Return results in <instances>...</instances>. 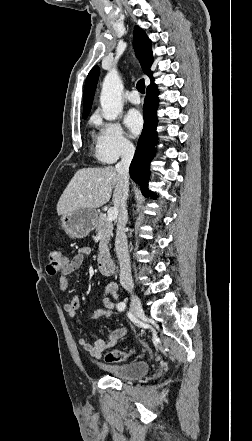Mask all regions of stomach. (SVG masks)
I'll return each mask as SVG.
<instances>
[{
  "label": "stomach",
  "instance_id": "1",
  "mask_svg": "<svg viewBox=\"0 0 252 441\" xmlns=\"http://www.w3.org/2000/svg\"><path fill=\"white\" fill-rule=\"evenodd\" d=\"M98 214L95 209H78L61 217V226L71 237L84 238L94 229Z\"/></svg>",
  "mask_w": 252,
  "mask_h": 441
}]
</instances>
